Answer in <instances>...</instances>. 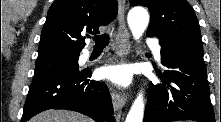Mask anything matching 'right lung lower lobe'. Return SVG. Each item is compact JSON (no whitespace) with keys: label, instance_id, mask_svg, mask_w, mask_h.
I'll use <instances>...</instances> for the list:
<instances>
[{"label":"right lung lower lobe","instance_id":"right-lung-lower-lobe-1","mask_svg":"<svg viewBox=\"0 0 221 122\" xmlns=\"http://www.w3.org/2000/svg\"><path fill=\"white\" fill-rule=\"evenodd\" d=\"M90 77L91 70L84 69L33 78L21 122L48 109H67L88 115L97 122H115L107 86Z\"/></svg>","mask_w":221,"mask_h":122}]
</instances>
